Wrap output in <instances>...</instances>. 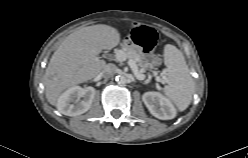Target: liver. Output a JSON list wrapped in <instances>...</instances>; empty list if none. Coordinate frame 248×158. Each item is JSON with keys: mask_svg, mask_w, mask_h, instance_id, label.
Here are the masks:
<instances>
[{"mask_svg": "<svg viewBox=\"0 0 248 158\" xmlns=\"http://www.w3.org/2000/svg\"><path fill=\"white\" fill-rule=\"evenodd\" d=\"M119 42V32L105 24L79 28L68 35L45 71L43 83L48 102L56 106L64 90L100 74L106 62L99 59V53L116 47Z\"/></svg>", "mask_w": 248, "mask_h": 158, "instance_id": "1", "label": "liver"}]
</instances>
